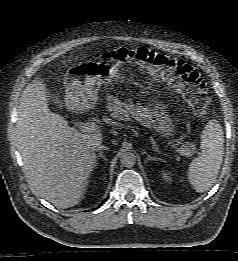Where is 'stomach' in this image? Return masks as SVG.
I'll return each instance as SVG.
<instances>
[{"label":"stomach","mask_w":238,"mask_h":261,"mask_svg":"<svg viewBox=\"0 0 238 261\" xmlns=\"http://www.w3.org/2000/svg\"><path fill=\"white\" fill-rule=\"evenodd\" d=\"M115 67L103 63H84L70 67L64 75L65 102L72 110H89L97 102L100 85L115 77ZM149 117H161L153 121L152 127L163 135H170L174 125L163 113L148 111Z\"/></svg>","instance_id":"1"}]
</instances>
